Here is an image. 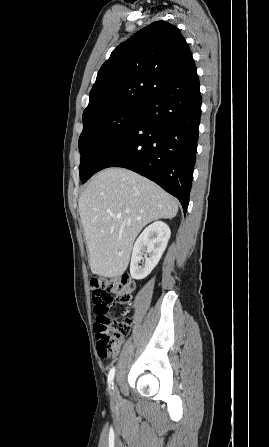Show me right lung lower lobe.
Segmentation results:
<instances>
[{"mask_svg":"<svg viewBox=\"0 0 269 447\" xmlns=\"http://www.w3.org/2000/svg\"><path fill=\"white\" fill-rule=\"evenodd\" d=\"M199 86L193 63L142 103L138 123L104 152L89 175L108 167L130 169L177 197L186 213L201 116Z\"/></svg>","mask_w":269,"mask_h":447,"instance_id":"98d812e1","label":"right lung lower lobe"}]
</instances>
